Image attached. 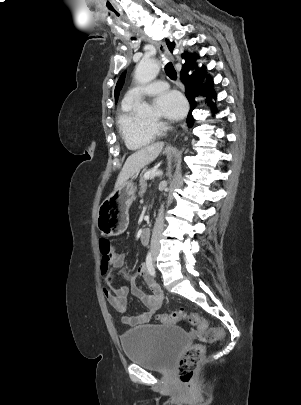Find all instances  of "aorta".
Listing matches in <instances>:
<instances>
[{
  "label": "aorta",
  "mask_w": 301,
  "mask_h": 405,
  "mask_svg": "<svg viewBox=\"0 0 301 405\" xmlns=\"http://www.w3.org/2000/svg\"><path fill=\"white\" fill-rule=\"evenodd\" d=\"M160 65L153 59H142L135 69V80L138 83H148L152 81L159 73ZM140 114H146L150 112V107L146 102H143L138 107Z\"/></svg>",
  "instance_id": "1"
}]
</instances>
